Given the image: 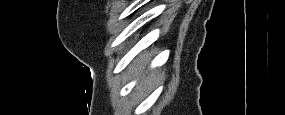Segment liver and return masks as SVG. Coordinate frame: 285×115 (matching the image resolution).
Instances as JSON below:
<instances>
[{"label":"liver","instance_id":"1","mask_svg":"<svg viewBox=\"0 0 285 115\" xmlns=\"http://www.w3.org/2000/svg\"><path fill=\"white\" fill-rule=\"evenodd\" d=\"M146 61H147V55L141 54L133 62L132 66H131L132 70L136 68L137 70H139V72L142 71L144 69V67L146 66ZM158 77H159L158 74H156L155 72H151L148 76L143 78V80L139 83L138 89L148 91L155 84Z\"/></svg>","mask_w":285,"mask_h":115}]
</instances>
